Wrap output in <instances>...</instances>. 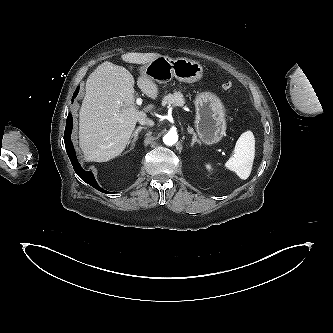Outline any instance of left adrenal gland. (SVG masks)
Segmentation results:
<instances>
[{"label":"left adrenal gland","instance_id":"left-adrenal-gland-1","mask_svg":"<svg viewBox=\"0 0 333 333\" xmlns=\"http://www.w3.org/2000/svg\"><path fill=\"white\" fill-rule=\"evenodd\" d=\"M187 129H188V132L193 135L191 146L193 147L196 142L200 144V140L197 139V136H196L195 132L193 131V129L190 126H188Z\"/></svg>","mask_w":333,"mask_h":333}]
</instances>
